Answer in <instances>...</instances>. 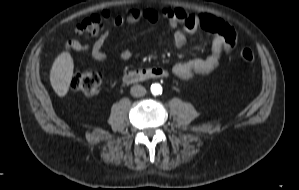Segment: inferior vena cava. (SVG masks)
Returning <instances> with one entry per match:
<instances>
[{
    "instance_id": "obj_1",
    "label": "inferior vena cava",
    "mask_w": 299,
    "mask_h": 190,
    "mask_svg": "<svg viewBox=\"0 0 299 190\" xmlns=\"http://www.w3.org/2000/svg\"><path fill=\"white\" fill-rule=\"evenodd\" d=\"M130 93L134 97H141L146 94V89L141 85H134L131 87Z\"/></svg>"
}]
</instances>
